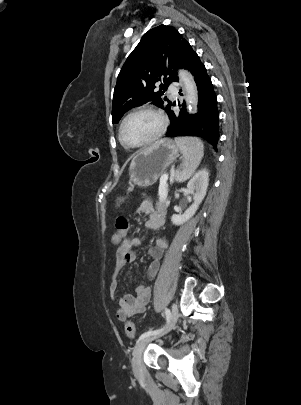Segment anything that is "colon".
<instances>
[{"instance_id":"1","label":"colon","mask_w":301,"mask_h":405,"mask_svg":"<svg viewBox=\"0 0 301 405\" xmlns=\"http://www.w3.org/2000/svg\"><path fill=\"white\" fill-rule=\"evenodd\" d=\"M115 226L117 229V232L113 234L111 237V242L114 247H120L121 242L123 241V237L127 234L129 228H130V222L127 218L125 217H118L115 222ZM125 333L126 335L134 339L136 336V331H135V326L132 321H127L125 323Z\"/></svg>"}]
</instances>
